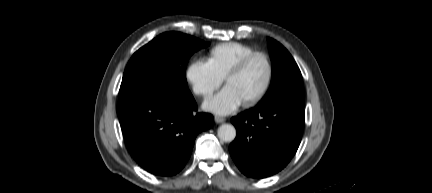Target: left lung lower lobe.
<instances>
[{
	"instance_id": "left-lung-lower-lobe-1",
	"label": "left lung lower lobe",
	"mask_w": 432,
	"mask_h": 193,
	"mask_svg": "<svg viewBox=\"0 0 432 193\" xmlns=\"http://www.w3.org/2000/svg\"><path fill=\"white\" fill-rule=\"evenodd\" d=\"M237 130L230 154L246 176L264 178L283 169L296 153L303 132V107L270 103L231 119Z\"/></svg>"
}]
</instances>
